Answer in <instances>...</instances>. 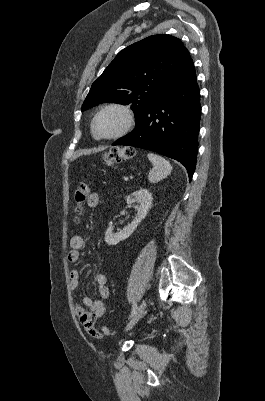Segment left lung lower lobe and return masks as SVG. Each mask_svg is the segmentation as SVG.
I'll use <instances>...</instances> for the list:
<instances>
[{
  "instance_id": "left-lung-lower-lobe-1",
  "label": "left lung lower lobe",
  "mask_w": 265,
  "mask_h": 401,
  "mask_svg": "<svg viewBox=\"0 0 265 401\" xmlns=\"http://www.w3.org/2000/svg\"><path fill=\"white\" fill-rule=\"evenodd\" d=\"M200 90L192 59L139 117L135 129L113 145L151 150L179 161L191 181L197 159Z\"/></svg>"
}]
</instances>
